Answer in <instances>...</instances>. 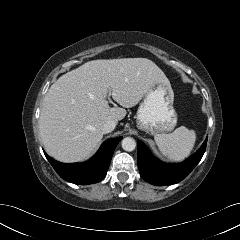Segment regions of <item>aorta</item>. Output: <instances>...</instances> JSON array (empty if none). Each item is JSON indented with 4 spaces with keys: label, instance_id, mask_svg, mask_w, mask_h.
Returning a JSON list of instances; mask_svg holds the SVG:
<instances>
[{
    "label": "aorta",
    "instance_id": "aorta-1",
    "mask_svg": "<svg viewBox=\"0 0 240 240\" xmlns=\"http://www.w3.org/2000/svg\"><path fill=\"white\" fill-rule=\"evenodd\" d=\"M122 148L125 151H133L136 148V141L131 137H125L121 142Z\"/></svg>",
    "mask_w": 240,
    "mask_h": 240
}]
</instances>
